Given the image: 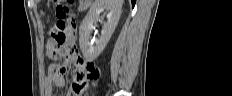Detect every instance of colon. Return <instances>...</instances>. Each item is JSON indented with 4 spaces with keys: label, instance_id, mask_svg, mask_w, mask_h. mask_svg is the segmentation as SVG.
Returning <instances> with one entry per match:
<instances>
[{
    "label": "colon",
    "instance_id": "5ec220e1",
    "mask_svg": "<svg viewBox=\"0 0 232 96\" xmlns=\"http://www.w3.org/2000/svg\"><path fill=\"white\" fill-rule=\"evenodd\" d=\"M70 15V8L68 5L57 4L55 8V20L50 26L49 35L54 48L48 51L51 57H64L72 58L73 56H79V52L76 46L66 45L69 35H67V21ZM83 63H91L79 59V65L76 69V83L79 85L81 92L87 88V79H96L99 76L98 68H83Z\"/></svg>",
    "mask_w": 232,
    "mask_h": 96
}]
</instances>
